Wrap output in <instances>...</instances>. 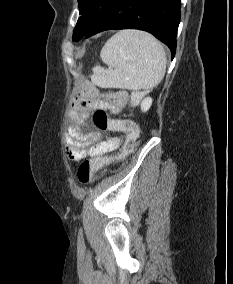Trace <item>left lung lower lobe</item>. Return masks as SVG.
Instances as JSON below:
<instances>
[{"instance_id": "1", "label": "left lung lower lobe", "mask_w": 233, "mask_h": 284, "mask_svg": "<svg viewBox=\"0 0 233 284\" xmlns=\"http://www.w3.org/2000/svg\"><path fill=\"white\" fill-rule=\"evenodd\" d=\"M181 0H107L98 12L86 38L117 29H140L153 34L176 51V34L180 23Z\"/></svg>"}]
</instances>
